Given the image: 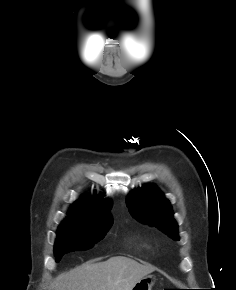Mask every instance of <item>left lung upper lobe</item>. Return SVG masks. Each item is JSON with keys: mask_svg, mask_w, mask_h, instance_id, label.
I'll use <instances>...</instances> for the list:
<instances>
[{"mask_svg": "<svg viewBox=\"0 0 236 290\" xmlns=\"http://www.w3.org/2000/svg\"><path fill=\"white\" fill-rule=\"evenodd\" d=\"M130 213L139 221L154 225L174 240H179L171 205L155 185L134 191L127 200Z\"/></svg>", "mask_w": 236, "mask_h": 290, "instance_id": "left-lung-upper-lobe-1", "label": "left lung upper lobe"}]
</instances>
